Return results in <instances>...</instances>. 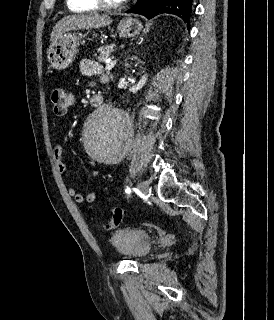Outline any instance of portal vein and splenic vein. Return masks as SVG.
<instances>
[{"label": "portal vein and splenic vein", "mask_w": 274, "mask_h": 320, "mask_svg": "<svg viewBox=\"0 0 274 320\" xmlns=\"http://www.w3.org/2000/svg\"><path fill=\"white\" fill-rule=\"evenodd\" d=\"M105 64H106V70H111V68H114L115 64H116V60H105Z\"/></svg>", "instance_id": "1"}]
</instances>
